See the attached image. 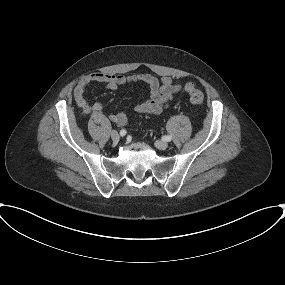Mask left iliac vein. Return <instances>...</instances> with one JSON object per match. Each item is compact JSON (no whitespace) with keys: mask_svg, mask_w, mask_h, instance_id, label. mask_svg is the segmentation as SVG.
<instances>
[{"mask_svg":"<svg viewBox=\"0 0 285 285\" xmlns=\"http://www.w3.org/2000/svg\"><path fill=\"white\" fill-rule=\"evenodd\" d=\"M155 146L160 150H165L168 147V143L166 141L159 140L155 142Z\"/></svg>","mask_w":285,"mask_h":285,"instance_id":"left-iliac-vein-1","label":"left iliac vein"}]
</instances>
